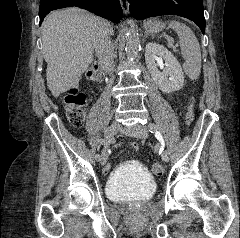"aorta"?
<instances>
[{"mask_svg": "<svg viewBox=\"0 0 240 238\" xmlns=\"http://www.w3.org/2000/svg\"><path fill=\"white\" fill-rule=\"evenodd\" d=\"M140 49V39L138 32L134 28H129L126 33L125 52L128 60H133L137 57Z\"/></svg>", "mask_w": 240, "mask_h": 238, "instance_id": "762f6f07", "label": "aorta"}]
</instances>
